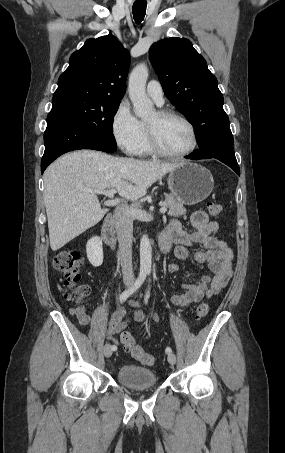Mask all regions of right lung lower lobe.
Instances as JSON below:
<instances>
[{"label": "right lung lower lobe", "mask_w": 285, "mask_h": 453, "mask_svg": "<svg viewBox=\"0 0 285 453\" xmlns=\"http://www.w3.org/2000/svg\"><path fill=\"white\" fill-rule=\"evenodd\" d=\"M44 143L45 152L41 161V173L57 157L69 151L79 149L116 151V146L93 136L70 116L53 110L47 116Z\"/></svg>", "instance_id": "obj_1"}]
</instances>
